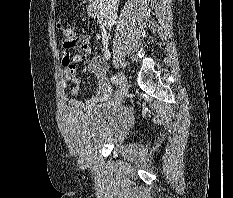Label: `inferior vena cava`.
Instances as JSON below:
<instances>
[{
  "label": "inferior vena cava",
  "mask_w": 233,
  "mask_h": 198,
  "mask_svg": "<svg viewBox=\"0 0 233 198\" xmlns=\"http://www.w3.org/2000/svg\"><path fill=\"white\" fill-rule=\"evenodd\" d=\"M118 0H100V13L103 24L107 28H111L117 18Z\"/></svg>",
  "instance_id": "602c4592"
}]
</instances>
